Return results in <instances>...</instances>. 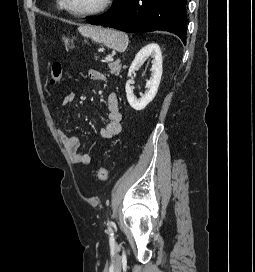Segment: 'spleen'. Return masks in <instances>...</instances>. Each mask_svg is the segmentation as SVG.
I'll return each mask as SVG.
<instances>
[{
    "mask_svg": "<svg viewBox=\"0 0 255 272\" xmlns=\"http://www.w3.org/2000/svg\"><path fill=\"white\" fill-rule=\"evenodd\" d=\"M78 30L83 36L119 52H124L128 46V36L121 31L93 26H82Z\"/></svg>",
    "mask_w": 255,
    "mask_h": 272,
    "instance_id": "3e777b00",
    "label": "spleen"
}]
</instances>
